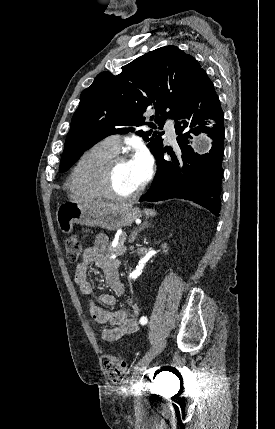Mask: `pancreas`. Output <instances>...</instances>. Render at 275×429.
<instances>
[{
  "instance_id": "pancreas-1",
  "label": "pancreas",
  "mask_w": 275,
  "mask_h": 429,
  "mask_svg": "<svg viewBox=\"0 0 275 429\" xmlns=\"http://www.w3.org/2000/svg\"><path fill=\"white\" fill-rule=\"evenodd\" d=\"M123 236L120 237L119 242L117 244V246L113 247V246H109L107 249V256L111 257V256H122L125 254L126 252V247L124 246L123 243Z\"/></svg>"
}]
</instances>
